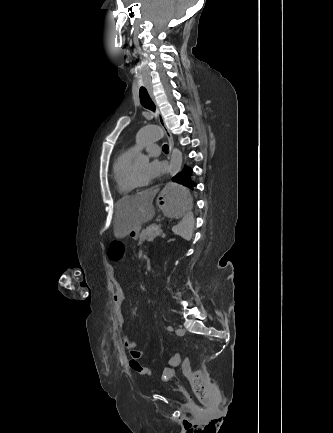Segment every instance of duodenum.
Segmentation results:
<instances>
[{"label":"duodenum","instance_id":"410a0bca","mask_svg":"<svg viewBox=\"0 0 333 433\" xmlns=\"http://www.w3.org/2000/svg\"><path fill=\"white\" fill-rule=\"evenodd\" d=\"M145 268L148 271H150L152 269V263H151L150 259H146V261H145Z\"/></svg>","mask_w":333,"mask_h":433}]
</instances>
